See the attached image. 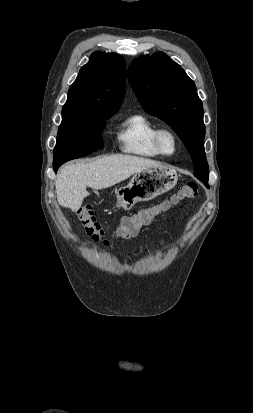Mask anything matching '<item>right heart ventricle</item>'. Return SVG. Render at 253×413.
<instances>
[{
	"mask_svg": "<svg viewBox=\"0 0 253 413\" xmlns=\"http://www.w3.org/2000/svg\"><path fill=\"white\" fill-rule=\"evenodd\" d=\"M158 125L144 114H132L119 125L116 139L119 149L127 154L155 158L160 154L153 144Z\"/></svg>",
	"mask_w": 253,
	"mask_h": 413,
	"instance_id": "obj_1",
	"label": "right heart ventricle"
}]
</instances>
